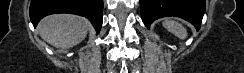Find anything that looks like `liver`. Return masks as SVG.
<instances>
[{"instance_id": "1", "label": "liver", "mask_w": 244, "mask_h": 73, "mask_svg": "<svg viewBox=\"0 0 244 73\" xmlns=\"http://www.w3.org/2000/svg\"><path fill=\"white\" fill-rule=\"evenodd\" d=\"M90 23L70 14H55L43 18L38 30L42 39L57 48H71L83 41Z\"/></svg>"}]
</instances>
